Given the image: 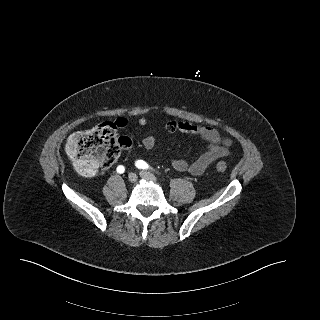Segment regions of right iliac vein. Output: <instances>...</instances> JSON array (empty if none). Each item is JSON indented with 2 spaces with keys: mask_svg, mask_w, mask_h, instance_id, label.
<instances>
[{
  "mask_svg": "<svg viewBox=\"0 0 320 320\" xmlns=\"http://www.w3.org/2000/svg\"><path fill=\"white\" fill-rule=\"evenodd\" d=\"M128 180H129V182H131V183L136 182V181H137V175L134 174V173H130V174L128 175Z\"/></svg>",
  "mask_w": 320,
  "mask_h": 320,
  "instance_id": "obj_1",
  "label": "right iliac vein"
}]
</instances>
